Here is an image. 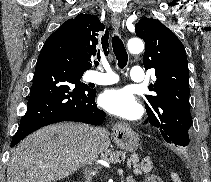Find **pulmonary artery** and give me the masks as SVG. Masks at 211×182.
<instances>
[{
    "instance_id": "pulmonary-artery-1",
    "label": "pulmonary artery",
    "mask_w": 211,
    "mask_h": 182,
    "mask_svg": "<svg viewBox=\"0 0 211 182\" xmlns=\"http://www.w3.org/2000/svg\"><path fill=\"white\" fill-rule=\"evenodd\" d=\"M132 80L136 82H142L144 79V70L141 66H134L130 72ZM118 79L117 75L109 68L105 67L104 72L94 71L89 76V80L99 84V85H107L116 82Z\"/></svg>"
}]
</instances>
